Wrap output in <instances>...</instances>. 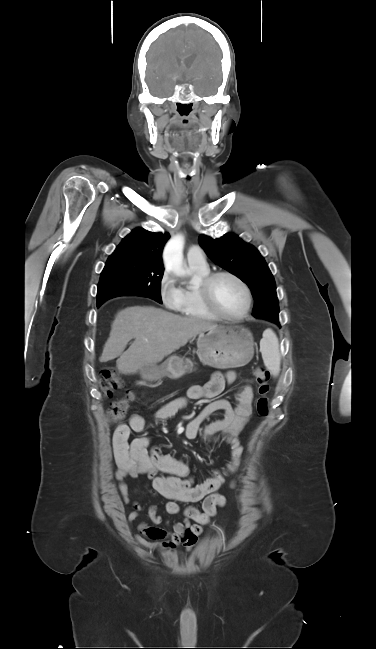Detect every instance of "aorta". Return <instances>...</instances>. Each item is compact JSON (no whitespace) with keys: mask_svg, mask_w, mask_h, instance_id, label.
<instances>
[{"mask_svg":"<svg viewBox=\"0 0 376 649\" xmlns=\"http://www.w3.org/2000/svg\"><path fill=\"white\" fill-rule=\"evenodd\" d=\"M183 247L184 237L176 235L168 241L163 252L166 269L171 270L178 276H183L186 273L183 267Z\"/></svg>","mask_w":376,"mask_h":649,"instance_id":"obj_1","label":"aorta"}]
</instances>
